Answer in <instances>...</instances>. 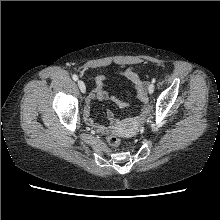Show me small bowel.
<instances>
[{
    "label": "small bowel",
    "instance_id": "c3829d8e",
    "mask_svg": "<svg viewBox=\"0 0 220 220\" xmlns=\"http://www.w3.org/2000/svg\"><path fill=\"white\" fill-rule=\"evenodd\" d=\"M119 75L125 80L130 82L137 90L138 97L140 101L144 104H148L147 96V83L143 81L137 71L134 68H127L119 72ZM106 77L98 76L96 78V87L91 91L83 109V117L89 126L94 128L99 133H105L107 131V126L97 123L91 114V102L95 99H108L111 100L119 108H126L127 103L118 97H116L108 88L105 86ZM108 116L111 118L112 113H109Z\"/></svg>",
    "mask_w": 220,
    "mask_h": 220
}]
</instances>
